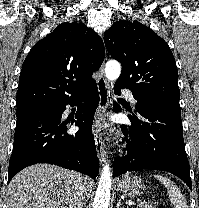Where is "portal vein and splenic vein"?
<instances>
[{
	"label": "portal vein and splenic vein",
	"instance_id": "1",
	"mask_svg": "<svg viewBox=\"0 0 199 208\" xmlns=\"http://www.w3.org/2000/svg\"><path fill=\"white\" fill-rule=\"evenodd\" d=\"M133 204H134V202H132V201L127 202V205H128V206H131V205H133Z\"/></svg>",
	"mask_w": 199,
	"mask_h": 208
}]
</instances>
